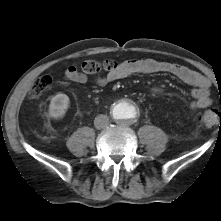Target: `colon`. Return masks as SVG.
<instances>
[{
  "label": "colon",
  "instance_id": "colon-1",
  "mask_svg": "<svg viewBox=\"0 0 221 221\" xmlns=\"http://www.w3.org/2000/svg\"><path fill=\"white\" fill-rule=\"evenodd\" d=\"M118 67L116 61L112 59L107 60H85L80 64V69L83 73L88 75H98L102 73H109ZM53 84V79L50 76H42L38 78L32 85L29 96L32 98L39 97L45 91L49 90ZM200 124L206 128H213L221 125V113L213 108H209L200 116Z\"/></svg>",
  "mask_w": 221,
  "mask_h": 221
}]
</instances>
